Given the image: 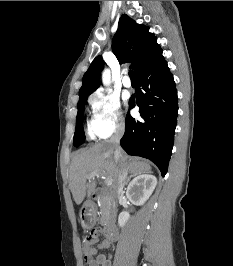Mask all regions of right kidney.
<instances>
[{
    "label": "right kidney",
    "mask_w": 233,
    "mask_h": 266,
    "mask_svg": "<svg viewBox=\"0 0 233 266\" xmlns=\"http://www.w3.org/2000/svg\"><path fill=\"white\" fill-rule=\"evenodd\" d=\"M157 185V179L154 175L143 174L135 177L127 187L126 195L135 205H143L153 193ZM128 212H122L119 215L118 223L124 227L129 220Z\"/></svg>",
    "instance_id": "obj_1"
}]
</instances>
